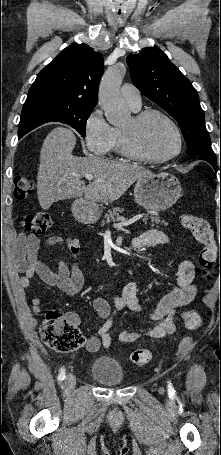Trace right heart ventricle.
<instances>
[{
	"instance_id": "right-heart-ventricle-1",
	"label": "right heart ventricle",
	"mask_w": 221,
	"mask_h": 455,
	"mask_svg": "<svg viewBox=\"0 0 221 455\" xmlns=\"http://www.w3.org/2000/svg\"><path fill=\"white\" fill-rule=\"evenodd\" d=\"M137 110H135V111H137ZM110 150L116 152L117 154L122 153L121 147H120V129L119 128H113V143H112V147Z\"/></svg>"
}]
</instances>
